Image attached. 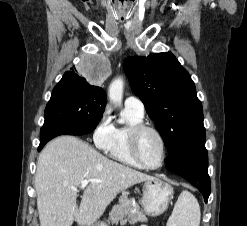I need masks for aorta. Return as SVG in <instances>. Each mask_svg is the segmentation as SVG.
Segmentation results:
<instances>
[{"instance_id":"1","label":"aorta","mask_w":247,"mask_h":226,"mask_svg":"<svg viewBox=\"0 0 247 226\" xmlns=\"http://www.w3.org/2000/svg\"><path fill=\"white\" fill-rule=\"evenodd\" d=\"M124 81L118 77L112 81L109 86L108 96L115 105H121L123 98Z\"/></svg>"}]
</instances>
